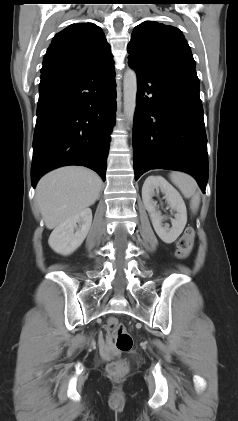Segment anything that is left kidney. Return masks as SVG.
Here are the masks:
<instances>
[{"label":"left kidney","mask_w":238,"mask_h":421,"mask_svg":"<svg viewBox=\"0 0 238 421\" xmlns=\"http://www.w3.org/2000/svg\"><path fill=\"white\" fill-rule=\"evenodd\" d=\"M155 189L161 190L171 209L176 211L175 218L171 219V228L168 225L163 226L164 217L156 211V202L152 199ZM142 199L157 235L163 242L173 243L183 232L187 223V210L180 194L163 177L149 176L142 187Z\"/></svg>","instance_id":"1"}]
</instances>
